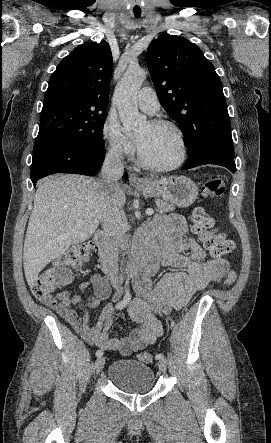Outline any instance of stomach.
<instances>
[{"mask_svg": "<svg viewBox=\"0 0 271 443\" xmlns=\"http://www.w3.org/2000/svg\"><path fill=\"white\" fill-rule=\"evenodd\" d=\"M145 186H139V190L145 198H166L178 208H188L194 204L198 196V188L190 178L185 176H170L160 180H142Z\"/></svg>", "mask_w": 271, "mask_h": 443, "instance_id": "obj_1", "label": "stomach"}]
</instances>
